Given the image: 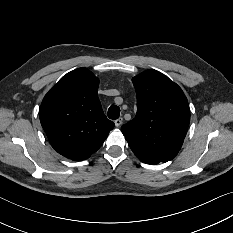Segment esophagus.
Returning <instances> with one entry per match:
<instances>
[{"mask_svg":"<svg viewBox=\"0 0 233 233\" xmlns=\"http://www.w3.org/2000/svg\"><path fill=\"white\" fill-rule=\"evenodd\" d=\"M122 122H123V118L122 117H120V118H118L117 120H115V126L116 127H119L121 124H122Z\"/></svg>","mask_w":233,"mask_h":233,"instance_id":"1","label":"esophagus"}]
</instances>
